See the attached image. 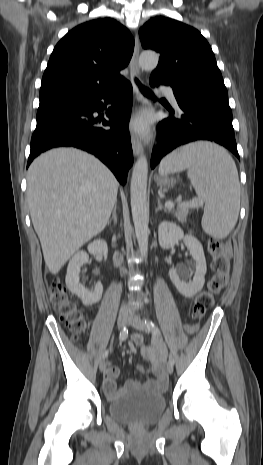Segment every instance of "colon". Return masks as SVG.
<instances>
[{"label": "colon", "mask_w": 263, "mask_h": 465, "mask_svg": "<svg viewBox=\"0 0 263 465\" xmlns=\"http://www.w3.org/2000/svg\"><path fill=\"white\" fill-rule=\"evenodd\" d=\"M208 251L212 257L211 267L214 274L207 288L195 298L192 314L196 319L202 318L212 307L215 296L226 286L229 278L230 265L224 243L217 239H210ZM50 297L52 304L70 331L77 337L82 336L86 329V322L58 279L51 283Z\"/></svg>", "instance_id": "obj_1"}]
</instances>
